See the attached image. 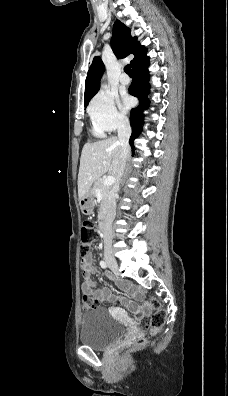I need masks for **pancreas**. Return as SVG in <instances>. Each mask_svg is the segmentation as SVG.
Here are the masks:
<instances>
[{"label": "pancreas", "mask_w": 228, "mask_h": 396, "mask_svg": "<svg viewBox=\"0 0 228 396\" xmlns=\"http://www.w3.org/2000/svg\"><path fill=\"white\" fill-rule=\"evenodd\" d=\"M93 193L96 197H101V203H100V209H99V214L98 218L101 219L103 215L105 214L107 205H108V198L110 197L112 193V188L110 186H105L103 184V179H98L95 181L94 187H93Z\"/></svg>", "instance_id": "pancreas-1"}]
</instances>
